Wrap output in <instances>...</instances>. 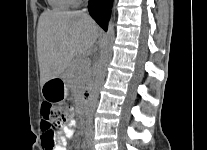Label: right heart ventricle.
I'll return each mask as SVG.
<instances>
[{
	"instance_id": "e07e8e85",
	"label": "right heart ventricle",
	"mask_w": 207,
	"mask_h": 150,
	"mask_svg": "<svg viewBox=\"0 0 207 150\" xmlns=\"http://www.w3.org/2000/svg\"><path fill=\"white\" fill-rule=\"evenodd\" d=\"M52 8L65 10L77 4L78 0H48Z\"/></svg>"
}]
</instances>
